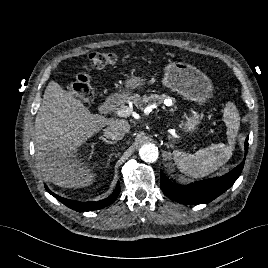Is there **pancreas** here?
Returning a JSON list of instances; mask_svg holds the SVG:
<instances>
[{
  "label": "pancreas",
  "mask_w": 268,
  "mask_h": 268,
  "mask_svg": "<svg viewBox=\"0 0 268 268\" xmlns=\"http://www.w3.org/2000/svg\"><path fill=\"white\" fill-rule=\"evenodd\" d=\"M129 99L135 104L136 107H140L142 109L143 105L154 103V102L163 103L164 100H168L172 98L166 94H162V95L151 94L150 96L143 95L142 97L138 94H134L130 96ZM172 101L174 102V99H172ZM173 102H168L167 106H173L174 105ZM171 111H174V110L171 109Z\"/></svg>",
  "instance_id": "obj_1"
}]
</instances>
